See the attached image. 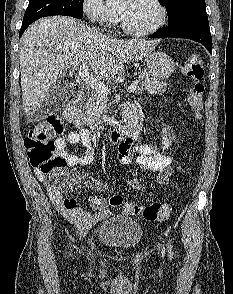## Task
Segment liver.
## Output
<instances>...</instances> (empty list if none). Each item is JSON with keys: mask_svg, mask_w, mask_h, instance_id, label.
<instances>
[{"mask_svg": "<svg viewBox=\"0 0 233 294\" xmlns=\"http://www.w3.org/2000/svg\"><path fill=\"white\" fill-rule=\"evenodd\" d=\"M159 40L123 41L63 16L40 19L21 38L22 101L27 113L39 108L68 68L86 62L98 79H111L124 63L146 57Z\"/></svg>", "mask_w": 233, "mask_h": 294, "instance_id": "obj_1", "label": "liver"}]
</instances>
